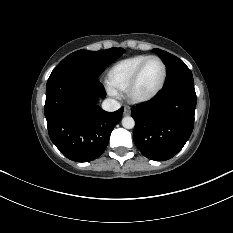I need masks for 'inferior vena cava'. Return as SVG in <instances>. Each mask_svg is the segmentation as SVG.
Listing matches in <instances>:
<instances>
[{
	"mask_svg": "<svg viewBox=\"0 0 233 233\" xmlns=\"http://www.w3.org/2000/svg\"><path fill=\"white\" fill-rule=\"evenodd\" d=\"M120 103L115 99H105L102 103V109L108 112H114L120 108Z\"/></svg>",
	"mask_w": 233,
	"mask_h": 233,
	"instance_id": "1",
	"label": "inferior vena cava"
}]
</instances>
